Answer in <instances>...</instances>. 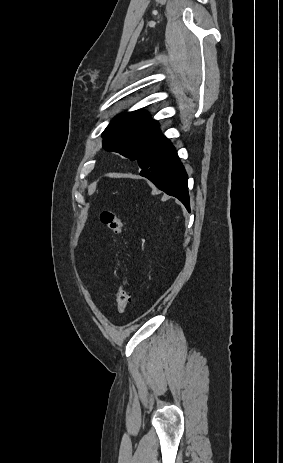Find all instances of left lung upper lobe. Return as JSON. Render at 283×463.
Returning a JSON list of instances; mask_svg holds the SVG:
<instances>
[{
  "mask_svg": "<svg viewBox=\"0 0 283 463\" xmlns=\"http://www.w3.org/2000/svg\"><path fill=\"white\" fill-rule=\"evenodd\" d=\"M160 133L158 124L143 110L115 117L103 132V148L137 160Z\"/></svg>",
  "mask_w": 283,
  "mask_h": 463,
  "instance_id": "1",
  "label": "left lung upper lobe"
}]
</instances>
